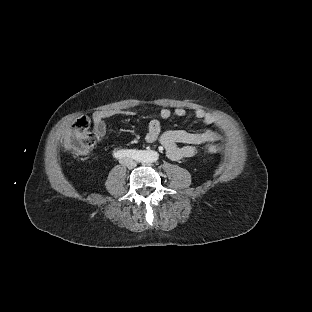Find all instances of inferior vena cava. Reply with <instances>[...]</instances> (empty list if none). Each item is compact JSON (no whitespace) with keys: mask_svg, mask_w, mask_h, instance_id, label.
<instances>
[{"mask_svg":"<svg viewBox=\"0 0 312 312\" xmlns=\"http://www.w3.org/2000/svg\"><path fill=\"white\" fill-rule=\"evenodd\" d=\"M135 164H136V163H135ZM127 167H130V168H131V167H132V165H130V164H129Z\"/></svg>","mask_w":312,"mask_h":312,"instance_id":"1","label":"inferior vena cava"}]
</instances>
